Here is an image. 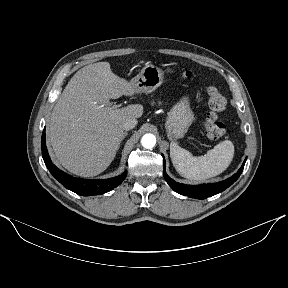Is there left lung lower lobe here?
<instances>
[{"label":"left lung lower lobe","mask_w":288,"mask_h":288,"mask_svg":"<svg viewBox=\"0 0 288 288\" xmlns=\"http://www.w3.org/2000/svg\"><path fill=\"white\" fill-rule=\"evenodd\" d=\"M163 159H164V156H163ZM245 162H246V159L244 160L241 168L238 170L236 174L218 183H209V184H201V185H186V184L178 183L174 181L173 179H171L166 174L165 160H163V174L169 186L177 193L188 196L190 198L206 199L208 197H211L215 194H218L224 191L229 186H231L239 178L240 174L242 173Z\"/></svg>","instance_id":"left-lung-lower-lobe-1"}]
</instances>
